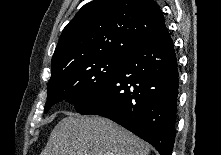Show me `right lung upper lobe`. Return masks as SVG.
<instances>
[{
	"instance_id": "1",
	"label": "right lung upper lobe",
	"mask_w": 221,
	"mask_h": 155,
	"mask_svg": "<svg viewBox=\"0 0 221 155\" xmlns=\"http://www.w3.org/2000/svg\"><path fill=\"white\" fill-rule=\"evenodd\" d=\"M164 30L163 14L154 0H94L63 29L51 74L78 60L127 55L138 42Z\"/></svg>"
}]
</instances>
